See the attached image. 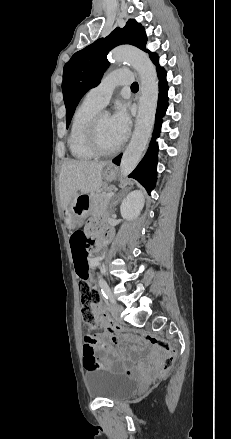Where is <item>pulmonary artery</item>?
Masks as SVG:
<instances>
[{"label":"pulmonary artery","mask_w":231,"mask_h":439,"mask_svg":"<svg viewBox=\"0 0 231 439\" xmlns=\"http://www.w3.org/2000/svg\"><path fill=\"white\" fill-rule=\"evenodd\" d=\"M132 80L133 74L127 69L112 71L104 77L99 85L88 91L85 99L102 108L109 102L117 86L128 85Z\"/></svg>","instance_id":"1"}]
</instances>
